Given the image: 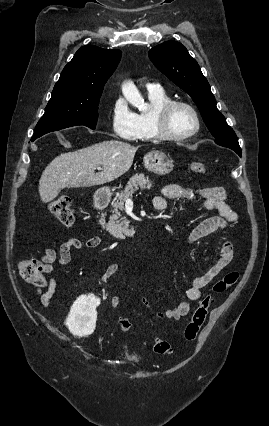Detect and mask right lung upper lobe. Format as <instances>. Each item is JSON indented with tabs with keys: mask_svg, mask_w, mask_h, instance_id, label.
<instances>
[{
	"mask_svg": "<svg viewBox=\"0 0 269 426\" xmlns=\"http://www.w3.org/2000/svg\"><path fill=\"white\" fill-rule=\"evenodd\" d=\"M120 58V50L103 49L93 45L80 48L64 67L52 93H63L68 97L101 95Z\"/></svg>",
	"mask_w": 269,
	"mask_h": 426,
	"instance_id": "1",
	"label": "right lung upper lobe"
}]
</instances>
